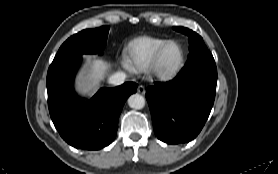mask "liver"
<instances>
[{
    "mask_svg": "<svg viewBox=\"0 0 278 174\" xmlns=\"http://www.w3.org/2000/svg\"><path fill=\"white\" fill-rule=\"evenodd\" d=\"M109 64L102 59H88L85 75L78 81L76 91L85 96L93 95L107 73Z\"/></svg>",
    "mask_w": 278,
    "mask_h": 174,
    "instance_id": "liver-1",
    "label": "liver"
}]
</instances>
